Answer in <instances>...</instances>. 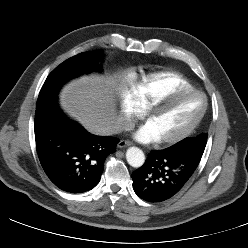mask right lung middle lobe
<instances>
[{
	"mask_svg": "<svg viewBox=\"0 0 248 248\" xmlns=\"http://www.w3.org/2000/svg\"><path fill=\"white\" fill-rule=\"evenodd\" d=\"M101 51H88L71 57L56 67L44 82L39 97L57 95L61 86L76 76L100 70Z\"/></svg>",
	"mask_w": 248,
	"mask_h": 248,
	"instance_id": "obj_1",
	"label": "right lung middle lobe"
}]
</instances>
